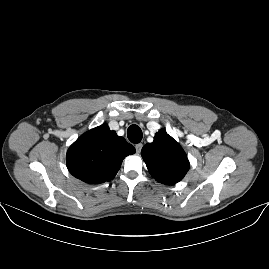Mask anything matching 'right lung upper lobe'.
<instances>
[{
	"instance_id": "right-lung-upper-lobe-1",
	"label": "right lung upper lobe",
	"mask_w": 269,
	"mask_h": 269,
	"mask_svg": "<svg viewBox=\"0 0 269 269\" xmlns=\"http://www.w3.org/2000/svg\"><path fill=\"white\" fill-rule=\"evenodd\" d=\"M135 148L102 124L78 138L67 152L70 173L89 184L110 181L117 174L123 159Z\"/></svg>"
}]
</instances>
